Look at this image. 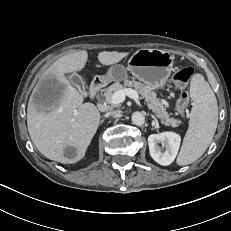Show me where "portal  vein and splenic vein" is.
Wrapping results in <instances>:
<instances>
[{"label": "portal vein and splenic vein", "mask_w": 231, "mask_h": 231, "mask_svg": "<svg viewBox=\"0 0 231 231\" xmlns=\"http://www.w3.org/2000/svg\"><path fill=\"white\" fill-rule=\"evenodd\" d=\"M126 96H128L129 98H131L137 102L140 100V97H139L137 91H135L134 89H131V88H126L124 90L116 91L112 95L111 104L117 105L119 103H122L125 100Z\"/></svg>", "instance_id": "18ae733b"}]
</instances>
